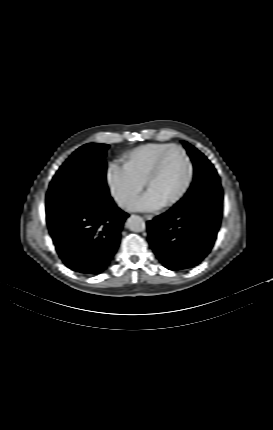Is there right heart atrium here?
Wrapping results in <instances>:
<instances>
[{
    "label": "right heart atrium",
    "mask_w": 273,
    "mask_h": 430,
    "mask_svg": "<svg viewBox=\"0 0 273 430\" xmlns=\"http://www.w3.org/2000/svg\"><path fill=\"white\" fill-rule=\"evenodd\" d=\"M106 182L112 197L121 208H128L144 188V183L119 162L108 165Z\"/></svg>",
    "instance_id": "d8ad5b80"
}]
</instances>
